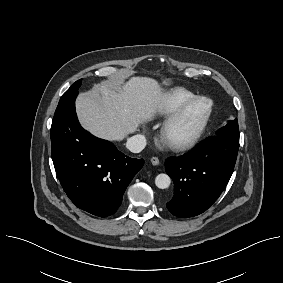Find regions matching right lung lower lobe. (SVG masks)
Segmentation results:
<instances>
[{"mask_svg":"<svg viewBox=\"0 0 283 283\" xmlns=\"http://www.w3.org/2000/svg\"><path fill=\"white\" fill-rule=\"evenodd\" d=\"M78 89L63 95L51 126L52 160L59 181L80 209L106 217L114 214L123 194L144 164L109 141L84 130L76 116Z\"/></svg>","mask_w":283,"mask_h":283,"instance_id":"98d812e1","label":"right lung lower lobe"}]
</instances>
